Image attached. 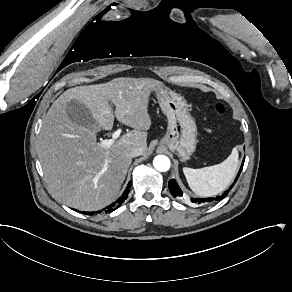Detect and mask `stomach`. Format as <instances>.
<instances>
[{
    "label": "stomach",
    "mask_w": 292,
    "mask_h": 292,
    "mask_svg": "<svg viewBox=\"0 0 292 292\" xmlns=\"http://www.w3.org/2000/svg\"><path fill=\"white\" fill-rule=\"evenodd\" d=\"M162 112L167 116L168 127L161 144L186 161L196 149L197 127L188 111L186 100L169 92L160 83L155 89Z\"/></svg>",
    "instance_id": "stomach-1"
}]
</instances>
